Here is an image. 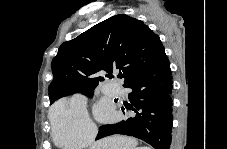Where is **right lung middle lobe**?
Segmentation results:
<instances>
[{"mask_svg":"<svg viewBox=\"0 0 227 149\" xmlns=\"http://www.w3.org/2000/svg\"><path fill=\"white\" fill-rule=\"evenodd\" d=\"M93 91H94V90H91V91H89L88 93H86L85 95L91 97V96L93 95ZM51 103H52V102H51Z\"/></svg>","mask_w":227,"mask_h":149,"instance_id":"1","label":"right lung middle lobe"}]
</instances>
